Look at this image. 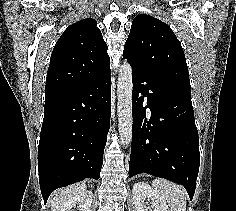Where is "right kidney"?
<instances>
[{
    "label": "right kidney",
    "instance_id": "right-kidney-1",
    "mask_svg": "<svg viewBox=\"0 0 236 211\" xmlns=\"http://www.w3.org/2000/svg\"><path fill=\"white\" fill-rule=\"evenodd\" d=\"M92 199L93 193L91 191H83L65 202L58 211H72V209L76 208L79 211H90Z\"/></svg>",
    "mask_w": 236,
    "mask_h": 211
}]
</instances>
